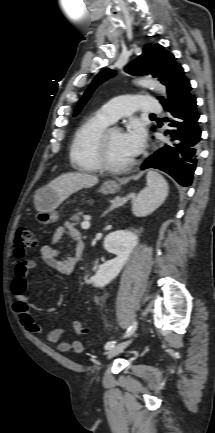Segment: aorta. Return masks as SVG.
I'll list each match as a JSON object with an SVG mask.
<instances>
[{"label":"aorta","mask_w":215,"mask_h":433,"mask_svg":"<svg viewBox=\"0 0 215 433\" xmlns=\"http://www.w3.org/2000/svg\"><path fill=\"white\" fill-rule=\"evenodd\" d=\"M137 84L142 87L155 89L160 93H162L163 95H166L165 87L157 80L150 79V78H142L137 81Z\"/></svg>","instance_id":"obj_1"}]
</instances>
